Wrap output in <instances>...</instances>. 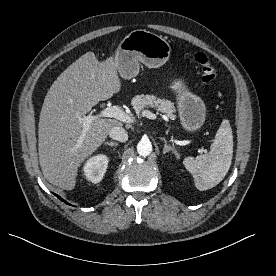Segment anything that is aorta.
I'll return each mask as SVG.
<instances>
[{
	"label": "aorta",
	"mask_w": 276,
	"mask_h": 276,
	"mask_svg": "<svg viewBox=\"0 0 276 276\" xmlns=\"http://www.w3.org/2000/svg\"><path fill=\"white\" fill-rule=\"evenodd\" d=\"M137 152L141 156H148L152 152V144L149 140H141L137 144Z\"/></svg>",
	"instance_id": "obj_1"
}]
</instances>
